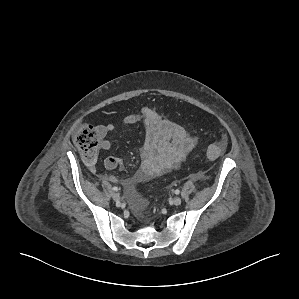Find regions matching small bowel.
Listing matches in <instances>:
<instances>
[{"instance_id": "small-bowel-1", "label": "small bowel", "mask_w": 299, "mask_h": 299, "mask_svg": "<svg viewBox=\"0 0 299 299\" xmlns=\"http://www.w3.org/2000/svg\"><path fill=\"white\" fill-rule=\"evenodd\" d=\"M135 124L143 126L144 142L141 150L140 167L134 177L125 182L128 191H133L141 182L178 169L197 143V139L184 127L164 118L152 108L145 107L139 113L128 114L123 121L122 130H127ZM115 129L113 123L97 126L96 131L102 140V149H110L109 135ZM118 165H120V160L113 156L104 161L107 170H113ZM107 179L113 182L117 181L113 176H107ZM145 205L146 199L136 193L134 208L140 210Z\"/></svg>"}]
</instances>
